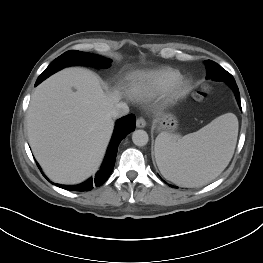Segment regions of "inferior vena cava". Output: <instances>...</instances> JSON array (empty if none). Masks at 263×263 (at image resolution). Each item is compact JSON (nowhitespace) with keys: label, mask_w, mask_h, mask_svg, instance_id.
I'll return each instance as SVG.
<instances>
[{"label":"inferior vena cava","mask_w":263,"mask_h":263,"mask_svg":"<svg viewBox=\"0 0 263 263\" xmlns=\"http://www.w3.org/2000/svg\"><path fill=\"white\" fill-rule=\"evenodd\" d=\"M129 113V107L126 103H118L111 110V116L113 118H120Z\"/></svg>","instance_id":"602c4592"}]
</instances>
